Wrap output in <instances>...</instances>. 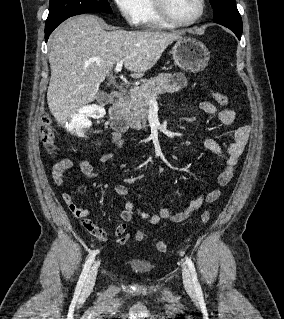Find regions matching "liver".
Wrapping results in <instances>:
<instances>
[{"mask_svg":"<svg viewBox=\"0 0 284 319\" xmlns=\"http://www.w3.org/2000/svg\"><path fill=\"white\" fill-rule=\"evenodd\" d=\"M180 33L161 30L105 31L93 15H79L59 25L50 36L51 78L48 107L59 124L93 102L100 83L124 60L131 76L140 78Z\"/></svg>","mask_w":284,"mask_h":319,"instance_id":"6515ba94","label":"liver"}]
</instances>
